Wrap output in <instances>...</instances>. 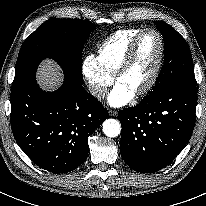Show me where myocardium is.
<instances>
[{
	"mask_svg": "<svg viewBox=\"0 0 206 206\" xmlns=\"http://www.w3.org/2000/svg\"><path fill=\"white\" fill-rule=\"evenodd\" d=\"M148 33H153L157 36V38L159 40V46H160L159 55H158L156 65L154 67V70L151 74L150 79L140 90H138L135 93V95L137 97H141V96L149 93L153 89V87L155 86V84L160 76L162 66L164 63V58H165V42H164V38H163L162 34L153 28H147V29L142 30L131 42L126 54L124 55L123 59L121 60L119 66L117 68V71L115 73V80L118 82L119 79L121 78V76L130 67V65L135 57V54H136V51H137V48H138V45H139L141 39L143 38L144 35H146Z\"/></svg>",
	"mask_w": 206,
	"mask_h": 206,
	"instance_id": "myocardium-1",
	"label": "myocardium"
}]
</instances>
